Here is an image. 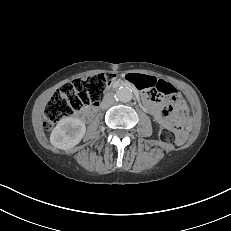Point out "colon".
I'll list each match as a JSON object with an SVG mask.
<instances>
[{"instance_id": "5ec220e1", "label": "colon", "mask_w": 231, "mask_h": 231, "mask_svg": "<svg viewBox=\"0 0 231 231\" xmlns=\"http://www.w3.org/2000/svg\"><path fill=\"white\" fill-rule=\"evenodd\" d=\"M115 79L112 73H100L86 78H77L63 85L49 100L45 107L43 125L46 129L65 117L74 115L86 106H97L101 102L105 91ZM154 94L173 95L176 89L168 82L161 81L151 90ZM176 120L173 126L161 129L160 138L168 144L181 143L187 137L185 128L181 125L187 117L184 106H177Z\"/></svg>"}]
</instances>
